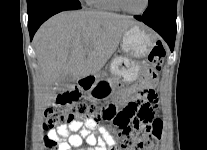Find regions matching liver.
<instances>
[{
  "instance_id": "6515ba94",
  "label": "liver",
  "mask_w": 207,
  "mask_h": 150,
  "mask_svg": "<svg viewBox=\"0 0 207 150\" xmlns=\"http://www.w3.org/2000/svg\"><path fill=\"white\" fill-rule=\"evenodd\" d=\"M136 24L130 16L91 10L65 11L46 21L33 40L43 107L51 105L65 76L96 75Z\"/></svg>"
}]
</instances>
